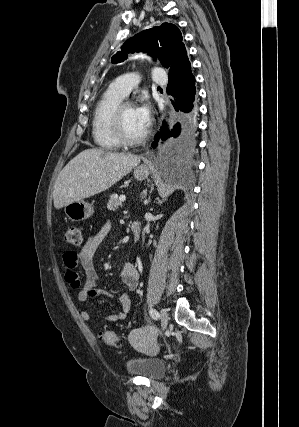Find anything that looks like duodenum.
I'll use <instances>...</instances> for the list:
<instances>
[{
	"mask_svg": "<svg viewBox=\"0 0 299 427\" xmlns=\"http://www.w3.org/2000/svg\"><path fill=\"white\" fill-rule=\"evenodd\" d=\"M130 228L133 233L135 242H138L141 236V223L138 221H133L130 223Z\"/></svg>",
	"mask_w": 299,
	"mask_h": 427,
	"instance_id": "410a0bca",
	"label": "duodenum"
}]
</instances>
